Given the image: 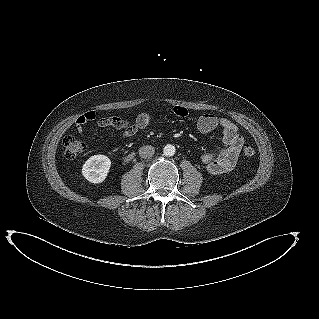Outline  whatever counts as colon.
Wrapping results in <instances>:
<instances>
[{"label":"colon","instance_id":"1","mask_svg":"<svg viewBox=\"0 0 319 319\" xmlns=\"http://www.w3.org/2000/svg\"><path fill=\"white\" fill-rule=\"evenodd\" d=\"M93 118L94 114L92 112H89L81 116L77 120V123L85 124ZM63 147L65 157L70 159L82 154L86 149L85 143L76 138L74 135H68L63 139ZM243 154L246 159L251 160L255 157L256 151L253 147L247 145L243 149Z\"/></svg>","mask_w":319,"mask_h":319}]
</instances>
